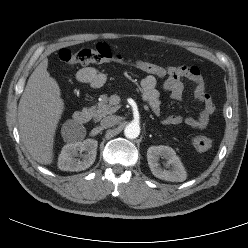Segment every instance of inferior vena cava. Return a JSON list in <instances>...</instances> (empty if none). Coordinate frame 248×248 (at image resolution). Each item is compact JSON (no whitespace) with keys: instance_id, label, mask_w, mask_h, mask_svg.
Wrapping results in <instances>:
<instances>
[{"instance_id":"1","label":"inferior vena cava","mask_w":248,"mask_h":248,"mask_svg":"<svg viewBox=\"0 0 248 248\" xmlns=\"http://www.w3.org/2000/svg\"><path fill=\"white\" fill-rule=\"evenodd\" d=\"M118 123V118L115 115L112 116H107L105 118H103L100 122L101 127L103 128H109L114 126L115 124Z\"/></svg>"}]
</instances>
